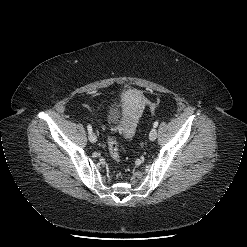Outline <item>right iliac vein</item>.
Wrapping results in <instances>:
<instances>
[{
    "instance_id": "63e3f726",
    "label": "right iliac vein",
    "mask_w": 247,
    "mask_h": 247,
    "mask_svg": "<svg viewBox=\"0 0 247 247\" xmlns=\"http://www.w3.org/2000/svg\"><path fill=\"white\" fill-rule=\"evenodd\" d=\"M89 140L92 143H95L97 141V137H96V135L93 132H90L89 133Z\"/></svg>"
}]
</instances>
